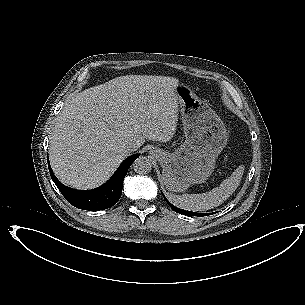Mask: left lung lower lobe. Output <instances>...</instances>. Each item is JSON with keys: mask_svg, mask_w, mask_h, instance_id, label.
Here are the masks:
<instances>
[{"mask_svg": "<svg viewBox=\"0 0 305 305\" xmlns=\"http://www.w3.org/2000/svg\"><path fill=\"white\" fill-rule=\"evenodd\" d=\"M163 197H164V199L166 200V202L170 205V207L175 211V212H178L179 213V211H180V209L179 208H177V207H175V206H173L167 199H166V197L164 196V194H163ZM183 210V209H182ZM186 211V210H185ZM185 215H189V214H185ZM207 215H211V213H195V212H193V214L192 215H189V216H198V217H202V216H207Z\"/></svg>", "mask_w": 305, "mask_h": 305, "instance_id": "obj_1", "label": "left lung lower lobe"}]
</instances>
